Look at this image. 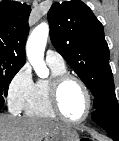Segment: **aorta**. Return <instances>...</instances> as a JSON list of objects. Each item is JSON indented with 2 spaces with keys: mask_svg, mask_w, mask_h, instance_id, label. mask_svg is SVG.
I'll return each mask as SVG.
<instances>
[{
  "mask_svg": "<svg viewBox=\"0 0 119 141\" xmlns=\"http://www.w3.org/2000/svg\"><path fill=\"white\" fill-rule=\"evenodd\" d=\"M48 36V24L41 23L32 31L26 44L27 58L40 78H46L49 74V70L44 63V52Z\"/></svg>",
  "mask_w": 119,
  "mask_h": 141,
  "instance_id": "obj_1",
  "label": "aorta"
}]
</instances>
